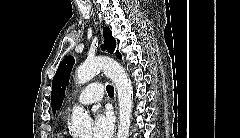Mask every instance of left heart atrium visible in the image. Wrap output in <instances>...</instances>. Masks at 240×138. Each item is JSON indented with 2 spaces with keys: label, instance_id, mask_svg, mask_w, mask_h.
I'll list each match as a JSON object with an SVG mask.
<instances>
[{
  "label": "left heart atrium",
  "instance_id": "39dd6f15",
  "mask_svg": "<svg viewBox=\"0 0 240 138\" xmlns=\"http://www.w3.org/2000/svg\"><path fill=\"white\" fill-rule=\"evenodd\" d=\"M114 120L110 112L105 110L97 111L92 133L94 138H110L113 132Z\"/></svg>",
  "mask_w": 240,
  "mask_h": 138
}]
</instances>
